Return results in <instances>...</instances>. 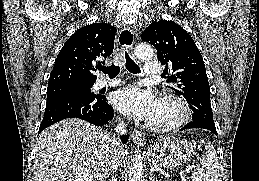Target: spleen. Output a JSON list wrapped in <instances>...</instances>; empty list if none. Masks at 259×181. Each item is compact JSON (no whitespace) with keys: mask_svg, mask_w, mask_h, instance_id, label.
Here are the masks:
<instances>
[{"mask_svg":"<svg viewBox=\"0 0 259 181\" xmlns=\"http://www.w3.org/2000/svg\"><path fill=\"white\" fill-rule=\"evenodd\" d=\"M200 164L202 168L192 174L193 181H219V162L213 145L205 146V153L200 157Z\"/></svg>","mask_w":259,"mask_h":181,"instance_id":"1","label":"spleen"}]
</instances>
